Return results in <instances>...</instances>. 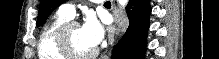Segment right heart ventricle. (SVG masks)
<instances>
[{
    "instance_id": "right-heart-ventricle-1",
    "label": "right heart ventricle",
    "mask_w": 219,
    "mask_h": 59,
    "mask_svg": "<svg viewBox=\"0 0 219 59\" xmlns=\"http://www.w3.org/2000/svg\"><path fill=\"white\" fill-rule=\"evenodd\" d=\"M69 20L70 18L58 11L46 22L40 32L37 43L39 59H67L58 50L57 36L61 26Z\"/></svg>"
}]
</instances>
